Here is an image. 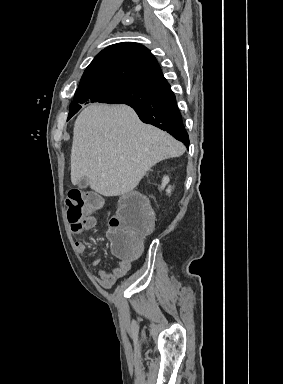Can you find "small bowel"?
Returning a JSON list of instances; mask_svg holds the SVG:
<instances>
[{
    "label": "small bowel",
    "mask_w": 283,
    "mask_h": 384,
    "mask_svg": "<svg viewBox=\"0 0 283 384\" xmlns=\"http://www.w3.org/2000/svg\"><path fill=\"white\" fill-rule=\"evenodd\" d=\"M96 224V219L92 215H88L84 218L82 223L78 226L71 225V231L73 234H80L84 231L92 229ZM76 250L82 255H87V249L84 242L78 241L75 244ZM93 266L99 264V259H94L91 261ZM131 263L129 261L122 260L119 262L118 266L111 270L101 269L99 271V283L104 288H110L113 286L119 279L124 277L130 270Z\"/></svg>",
    "instance_id": "obj_1"
}]
</instances>
